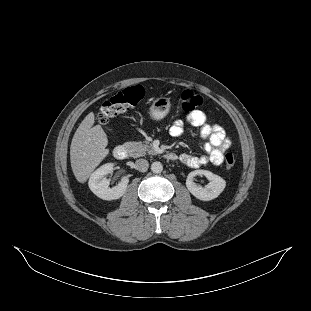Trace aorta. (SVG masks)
Listing matches in <instances>:
<instances>
[{
	"instance_id": "aorta-1",
	"label": "aorta",
	"mask_w": 311,
	"mask_h": 311,
	"mask_svg": "<svg viewBox=\"0 0 311 311\" xmlns=\"http://www.w3.org/2000/svg\"><path fill=\"white\" fill-rule=\"evenodd\" d=\"M151 171L153 173H161L163 171V165L161 162L156 161L151 164Z\"/></svg>"
}]
</instances>
